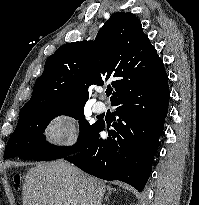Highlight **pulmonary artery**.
<instances>
[{"mask_svg":"<svg viewBox=\"0 0 199 205\" xmlns=\"http://www.w3.org/2000/svg\"><path fill=\"white\" fill-rule=\"evenodd\" d=\"M106 108L107 107L104 102L99 101L94 104V110L97 113H104L106 111Z\"/></svg>","mask_w":199,"mask_h":205,"instance_id":"1","label":"pulmonary artery"}]
</instances>
